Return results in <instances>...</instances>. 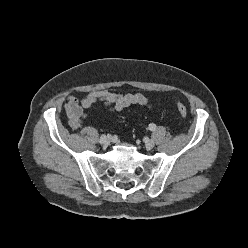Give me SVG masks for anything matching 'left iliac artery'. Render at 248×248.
Returning a JSON list of instances; mask_svg holds the SVG:
<instances>
[{"mask_svg":"<svg viewBox=\"0 0 248 248\" xmlns=\"http://www.w3.org/2000/svg\"><path fill=\"white\" fill-rule=\"evenodd\" d=\"M149 129L154 131L156 129V125L154 123L149 124Z\"/></svg>","mask_w":248,"mask_h":248,"instance_id":"left-iliac-artery-1","label":"left iliac artery"}]
</instances>
